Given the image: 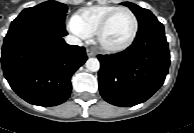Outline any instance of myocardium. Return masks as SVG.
I'll use <instances>...</instances> for the list:
<instances>
[{"mask_svg": "<svg viewBox=\"0 0 194 133\" xmlns=\"http://www.w3.org/2000/svg\"><path fill=\"white\" fill-rule=\"evenodd\" d=\"M124 11H127L132 16L134 26H133V30H132L131 35L129 36V38L125 42H123L122 44L117 45L116 47H124V46L128 45L133 40V38L135 37L136 32H137V28H138V21H137L136 16L129 10H124ZM113 17H114V15L109 18V20L107 21L105 26H107L109 24V22L112 20Z\"/></svg>", "mask_w": 194, "mask_h": 133, "instance_id": "myocardium-1", "label": "myocardium"}]
</instances>
